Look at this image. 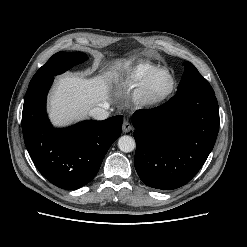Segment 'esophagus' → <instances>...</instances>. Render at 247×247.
Instances as JSON below:
<instances>
[{"label":"esophagus","instance_id":"34e87169","mask_svg":"<svg viewBox=\"0 0 247 247\" xmlns=\"http://www.w3.org/2000/svg\"><path fill=\"white\" fill-rule=\"evenodd\" d=\"M123 132L128 133L132 130V125L128 121L123 122V127H122Z\"/></svg>","mask_w":247,"mask_h":247}]
</instances>
